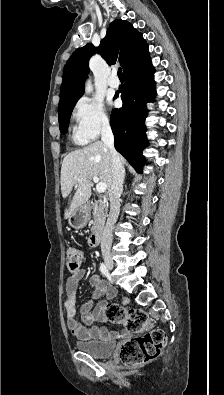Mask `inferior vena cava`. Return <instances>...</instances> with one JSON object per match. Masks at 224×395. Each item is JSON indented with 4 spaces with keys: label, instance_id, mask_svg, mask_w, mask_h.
Returning a JSON list of instances; mask_svg holds the SVG:
<instances>
[{
    "label": "inferior vena cava",
    "instance_id": "obj_1",
    "mask_svg": "<svg viewBox=\"0 0 224 395\" xmlns=\"http://www.w3.org/2000/svg\"><path fill=\"white\" fill-rule=\"evenodd\" d=\"M101 140L108 147L111 154L112 184L109 189L110 212L102 232L101 251L108 254L112 245L113 227L120 212V196L123 191L125 170L114 147V136L108 121L102 124Z\"/></svg>",
    "mask_w": 224,
    "mask_h": 395
}]
</instances>
